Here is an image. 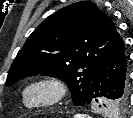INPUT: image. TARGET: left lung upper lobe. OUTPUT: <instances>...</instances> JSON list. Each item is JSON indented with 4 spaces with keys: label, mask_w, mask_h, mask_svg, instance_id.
<instances>
[{
    "label": "left lung upper lobe",
    "mask_w": 133,
    "mask_h": 118,
    "mask_svg": "<svg viewBox=\"0 0 133 118\" xmlns=\"http://www.w3.org/2000/svg\"><path fill=\"white\" fill-rule=\"evenodd\" d=\"M118 35L115 24L94 3L76 2L45 19L29 36L8 72L6 86L37 74L68 83L73 103L84 106L92 76ZM128 97L99 104L121 113Z\"/></svg>",
    "instance_id": "1"
}]
</instances>
